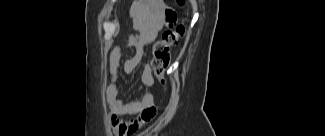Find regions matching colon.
Wrapping results in <instances>:
<instances>
[{
    "instance_id": "obj_1",
    "label": "colon",
    "mask_w": 325,
    "mask_h": 136,
    "mask_svg": "<svg viewBox=\"0 0 325 136\" xmlns=\"http://www.w3.org/2000/svg\"><path fill=\"white\" fill-rule=\"evenodd\" d=\"M183 4V0H177ZM167 29L163 32L161 38L155 42L152 51L151 67L157 79L166 83L165 75L170 63V52L173 46L180 43L185 35V26L178 23V17L175 11L168 9L165 12Z\"/></svg>"
}]
</instances>
